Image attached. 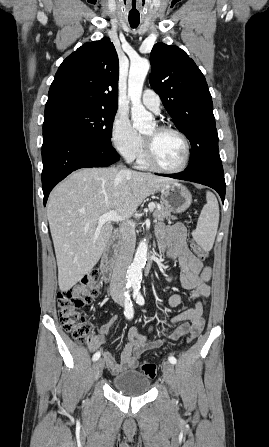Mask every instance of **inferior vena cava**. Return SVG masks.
<instances>
[{
  "instance_id": "obj_1",
  "label": "inferior vena cava",
  "mask_w": 269,
  "mask_h": 447,
  "mask_svg": "<svg viewBox=\"0 0 269 447\" xmlns=\"http://www.w3.org/2000/svg\"><path fill=\"white\" fill-rule=\"evenodd\" d=\"M123 174H128L129 170H121ZM122 233V247L119 255L115 261L111 281L110 293L111 295H121L125 291V283H127V271L132 261L133 253L135 251L136 231L131 222H124L120 225Z\"/></svg>"
}]
</instances>
